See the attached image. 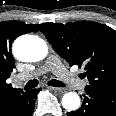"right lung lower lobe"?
<instances>
[{
  "mask_svg": "<svg viewBox=\"0 0 116 116\" xmlns=\"http://www.w3.org/2000/svg\"><path fill=\"white\" fill-rule=\"evenodd\" d=\"M41 89H34L28 92L19 93L0 113V116H31L35 106L37 93Z\"/></svg>",
  "mask_w": 116,
  "mask_h": 116,
  "instance_id": "98d812e1",
  "label": "right lung lower lobe"
}]
</instances>
